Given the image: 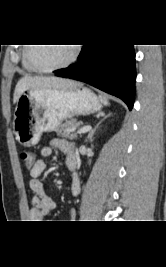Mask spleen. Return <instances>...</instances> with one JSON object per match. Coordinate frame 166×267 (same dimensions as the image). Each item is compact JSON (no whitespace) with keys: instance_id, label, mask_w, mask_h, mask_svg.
<instances>
[{"instance_id":"obj_1","label":"spleen","mask_w":166,"mask_h":267,"mask_svg":"<svg viewBox=\"0 0 166 267\" xmlns=\"http://www.w3.org/2000/svg\"><path fill=\"white\" fill-rule=\"evenodd\" d=\"M100 99L104 105H109V103L105 97L100 96Z\"/></svg>"}]
</instances>
